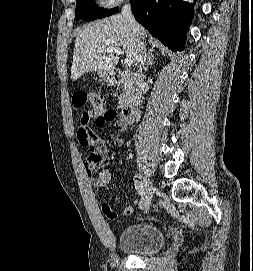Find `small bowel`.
I'll list each match as a JSON object with an SVG mask.
<instances>
[{"mask_svg": "<svg viewBox=\"0 0 253 271\" xmlns=\"http://www.w3.org/2000/svg\"><path fill=\"white\" fill-rule=\"evenodd\" d=\"M92 119L95 120L96 126L99 128H104L109 123L113 122L106 120L103 114L93 115L90 112L84 113L80 118L77 138L83 146H88L91 150V153L83 158L84 169L89 175L94 172L98 165L105 162L109 152L106 142L96 135L89 126V122ZM115 125L118 129V135L116 136L114 143L116 146L121 147L124 145V139L121 137V134L126 130V126L120 122H115ZM110 178V171L108 169H102L94 178H92V185L103 188L108 184ZM132 212V206L124 207L121 212H118L107 205L104 207V213L110 220H116L120 216H129Z\"/></svg>", "mask_w": 253, "mask_h": 271, "instance_id": "obj_1", "label": "small bowel"}]
</instances>
